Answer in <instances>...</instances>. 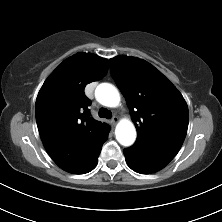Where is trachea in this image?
Wrapping results in <instances>:
<instances>
[{
  "mask_svg": "<svg viewBox=\"0 0 222 222\" xmlns=\"http://www.w3.org/2000/svg\"><path fill=\"white\" fill-rule=\"evenodd\" d=\"M99 116H100L101 118L110 119V118L112 117V113H111L109 110H107V109L101 108V109L99 110Z\"/></svg>",
  "mask_w": 222,
  "mask_h": 222,
  "instance_id": "obj_1",
  "label": "trachea"
}]
</instances>
